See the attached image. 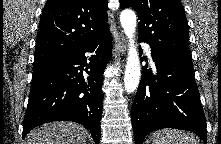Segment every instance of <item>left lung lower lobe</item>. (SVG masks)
Listing matches in <instances>:
<instances>
[{
	"label": "left lung lower lobe",
	"instance_id": "left-lung-lower-lobe-1",
	"mask_svg": "<svg viewBox=\"0 0 221 144\" xmlns=\"http://www.w3.org/2000/svg\"><path fill=\"white\" fill-rule=\"evenodd\" d=\"M155 75L143 68L131 109L136 144L155 130L176 128L196 133L205 143L206 120L192 60L151 49Z\"/></svg>",
	"mask_w": 221,
	"mask_h": 144
}]
</instances>
